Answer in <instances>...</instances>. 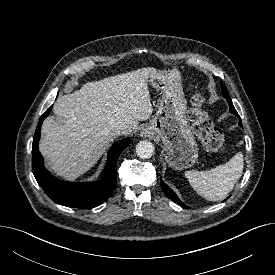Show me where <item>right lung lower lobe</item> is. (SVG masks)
<instances>
[{
  "mask_svg": "<svg viewBox=\"0 0 275 275\" xmlns=\"http://www.w3.org/2000/svg\"><path fill=\"white\" fill-rule=\"evenodd\" d=\"M52 110L50 106L41 116L32 144L33 174L44 192L55 202L74 208H94L102 204L112 194L117 180L116 165L121 152L129 145L130 139H123L114 144L108 152L104 177L97 182H64L53 177L43 165V158L38 149L41 125Z\"/></svg>",
  "mask_w": 275,
  "mask_h": 275,
  "instance_id": "98d812e1",
  "label": "right lung lower lobe"
}]
</instances>
